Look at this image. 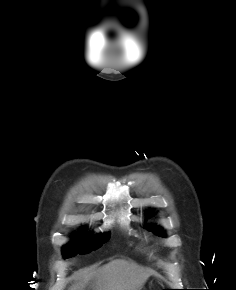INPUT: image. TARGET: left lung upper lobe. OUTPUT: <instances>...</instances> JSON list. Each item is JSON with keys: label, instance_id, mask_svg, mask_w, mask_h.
<instances>
[{"label": "left lung upper lobe", "instance_id": "left-lung-upper-lobe-1", "mask_svg": "<svg viewBox=\"0 0 236 290\" xmlns=\"http://www.w3.org/2000/svg\"><path fill=\"white\" fill-rule=\"evenodd\" d=\"M156 235H159V236H163V233H162V229L161 228H156L154 230H152Z\"/></svg>", "mask_w": 236, "mask_h": 290}]
</instances>
